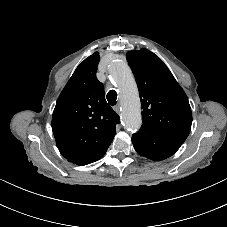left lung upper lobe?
<instances>
[{
	"label": "left lung upper lobe",
	"mask_w": 227,
	"mask_h": 227,
	"mask_svg": "<svg viewBox=\"0 0 227 227\" xmlns=\"http://www.w3.org/2000/svg\"><path fill=\"white\" fill-rule=\"evenodd\" d=\"M142 109V127L184 143L192 113L188 98L163 61L147 49L127 53Z\"/></svg>",
	"instance_id": "1"
}]
</instances>
